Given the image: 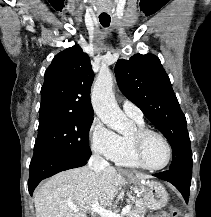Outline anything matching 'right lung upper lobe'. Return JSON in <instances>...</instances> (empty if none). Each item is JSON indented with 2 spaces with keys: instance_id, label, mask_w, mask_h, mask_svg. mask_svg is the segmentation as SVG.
Here are the masks:
<instances>
[{
  "instance_id": "1",
  "label": "right lung upper lobe",
  "mask_w": 211,
  "mask_h": 217,
  "mask_svg": "<svg viewBox=\"0 0 211 217\" xmlns=\"http://www.w3.org/2000/svg\"><path fill=\"white\" fill-rule=\"evenodd\" d=\"M90 59L77 44L57 54L45 72L40 119L51 115L92 116Z\"/></svg>"
}]
</instances>
